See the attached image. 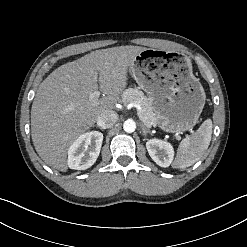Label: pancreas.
Masks as SVG:
<instances>
[{"label": "pancreas", "mask_w": 247, "mask_h": 247, "mask_svg": "<svg viewBox=\"0 0 247 247\" xmlns=\"http://www.w3.org/2000/svg\"><path fill=\"white\" fill-rule=\"evenodd\" d=\"M122 103L127 105L129 103H137L141 106V115L145 124H156V116L153 112L149 99L144 96L142 91L134 88L126 89L122 94Z\"/></svg>", "instance_id": "cf45deb5"}]
</instances>
